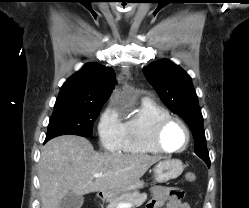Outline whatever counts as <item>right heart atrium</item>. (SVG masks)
I'll return each mask as SVG.
<instances>
[{
    "instance_id": "1",
    "label": "right heart atrium",
    "mask_w": 249,
    "mask_h": 208,
    "mask_svg": "<svg viewBox=\"0 0 249 208\" xmlns=\"http://www.w3.org/2000/svg\"><path fill=\"white\" fill-rule=\"evenodd\" d=\"M97 129L100 143L104 149L111 152L121 149L123 123L116 105L112 104L102 112Z\"/></svg>"
}]
</instances>
